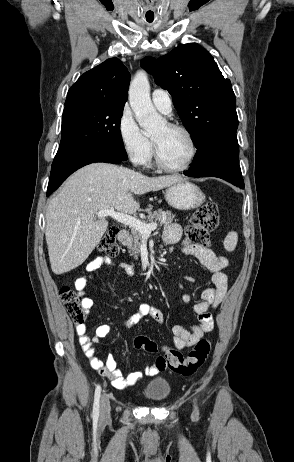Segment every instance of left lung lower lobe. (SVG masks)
<instances>
[{"mask_svg":"<svg viewBox=\"0 0 294 462\" xmlns=\"http://www.w3.org/2000/svg\"><path fill=\"white\" fill-rule=\"evenodd\" d=\"M239 146L236 132H229L211 143L198 148L190 169L184 175L190 177L213 176L244 188L238 164Z\"/></svg>","mask_w":294,"mask_h":462,"instance_id":"1","label":"left lung lower lobe"}]
</instances>
